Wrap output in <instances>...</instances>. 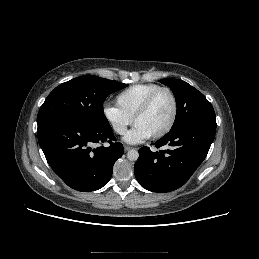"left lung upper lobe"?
<instances>
[{
  "mask_svg": "<svg viewBox=\"0 0 259 259\" xmlns=\"http://www.w3.org/2000/svg\"><path fill=\"white\" fill-rule=\"evenodd\" d=\"M160 82L172 90L176 100L177 112L171 129L193 122L217 126L214 109L201 92L179 79H161Z\"/></svg>",
  "mask_w": 259,
  "mask_h": 259,
  "instance_id": "5c2ea615",
  "label": "left lung upper lobe"
}]
</instances>
